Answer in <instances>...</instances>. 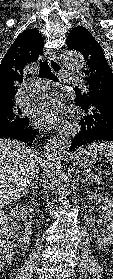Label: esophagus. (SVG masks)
Returning <instances> with one entry per match:
<instances>
[{
  "label": "esophagus",
  "instance_id": "34e87169",
  "mask_svg": "<svg viewBox=\"0 0 113 279\" xmlns=\"http://www.w3.org/2000/svg\"><path fill=\"white\" fill-rule=\"evenodd\" d=\"M45 54L47 56V59H48V62H49V65H50V68L52 69V71L55 73H58V74L62 73L63 66L60 62L57 61L55 51L53 49H46ZM65 126L74 127L75 131L78 130V124L76 121L66 122ZM69 143H67V145H69Z\"/></svg>",
  "mask_w": 113,
  "mask_h": 279
}]
</instances>
